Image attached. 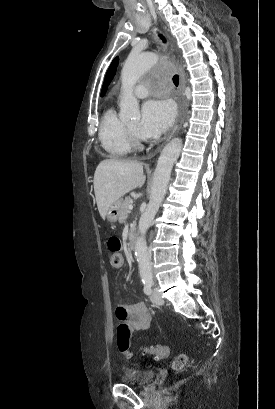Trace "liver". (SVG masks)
Returning <instances> with one entry per match:
<instances>
[{
	"label": "liver",
	"instance_id": "1",
	"mask_svg": "<svg viewBox=\"0 0 275 409\" xmlns=\"http://www.w3.org/2000/svg\"><path fill=\"white\" fill-rule=\"evenodd\" d=\"M145 182L142 162L106 158L99 162L94 174V192L98 211L105 221L112 202Z\"/></svg>",
	"mask_w": 275,
	"mask_h": 409
}]
</instances>
